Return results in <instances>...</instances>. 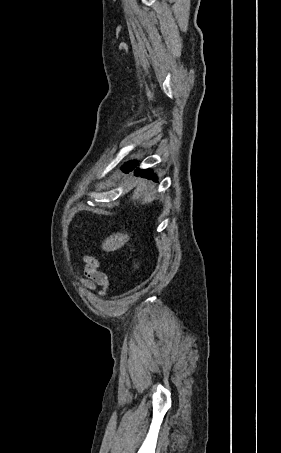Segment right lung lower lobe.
<instances>
[{
  "label": "right lung lower lobe",
  "instance_id": "1",
  "mask_svg": "<svg viewBox=\"0 0 281 453\" xmlns=\"http://www.w3.org/2000/svg\"><path fill=\"white\" fill-rule=\"evenodd\" d=\"M136 162H129L127 163L126 165L123 166L122 170L124 172H128V171H131L133 170L135 167H136ZM135 174L136 175H140L141 177H145V178H148V179H153L154 181H157V177L156 175L153 174L152 171L150 170H135Z\"/></svg>",
  "mask_w": 281,
  "mask_h": 453
}]
</instances>
